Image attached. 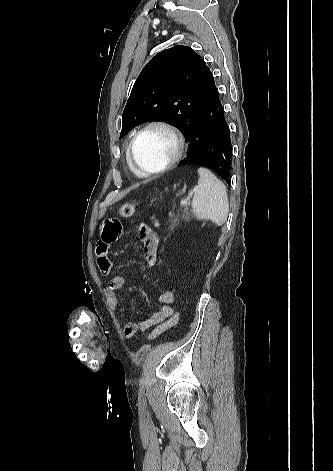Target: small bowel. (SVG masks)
Wrapping results in <instances>:
<instances>
[{
  "mask_svg": "<svg viewBox=\"0 0 333 471\" xmlns=\"http://www.w3.org/2000/svg\"><path fill=\"white\" fill-rule=\"evenodd\" d=\"M122 233V224L116 217L105 218L100 226V239L96 244L97 264L102 275L107 276L112 272L113 262L109 256L111 245L119 239ZM138 236L143 244V254L148 266H154L157 261L159 237L157 233L147 225L138 227ZM124 277L113 276L105 287V296L110 307L115 308L118 304L117 291L124 285ZM161 306L149 318L141 322H127L124 326L126 338H132L138 332H145L151 327L159 324L172 316L174 310L172 304L175 296L172 291L166 290L160 294Z\"/></svg>",
  "mask_w": 333,
  "mask_h": 471,
  "instance_id": "obj_1",
  "label": "small bowel"
}]
</instances>
